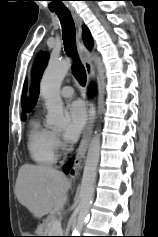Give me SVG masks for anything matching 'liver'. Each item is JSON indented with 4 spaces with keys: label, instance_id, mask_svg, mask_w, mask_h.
Here are the masks:
<instances>
[{
    "label": "liver",
    "instance_id": "liver-1",
    "mask_svg": "<svg viewBox=\"0 0 158 237\" xmlns=\"http://www.w3.org/2000/svg\"><path fill=\"white\" fill-rule=\"evenodd\" d=\"M70 186L67 177L55 168L24 164L18 172L15 194L35 218H41L63 209Z\"/></svg>",
    "mask_w": 158,
    "mask_h": 237
}]
</instances>
